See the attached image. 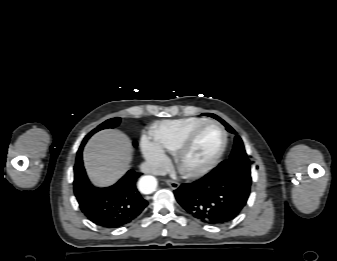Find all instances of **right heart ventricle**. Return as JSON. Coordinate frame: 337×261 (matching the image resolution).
I'll return each instance as SVG.
<instances>
[{
  "instance_id": "obj_1",
  "label": "right heart ventricle",
  "mask_w": 337,
  "mask_h": 261,
  "mask_svg": "<svg viewBox=\"0 0 337 261\" xmlns=\"http://www.w3.org/2000/svg\"><path fill=\"white\" fill-rule=\"evenodd\" d=\"M204 121L206 119L199 117L162 120L151 126L150 136L164 153L174 154L186 135Z\"/></svg>"
}]
</instances>
